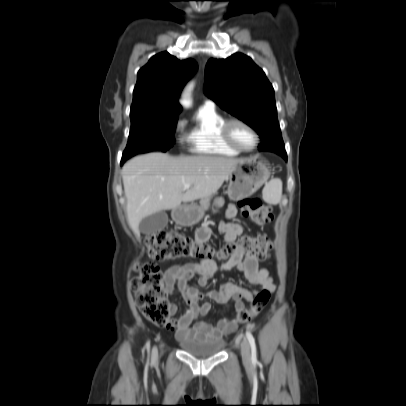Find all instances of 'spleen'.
Listing matches in <instances>:
<instances>
[{"label": "spleen", "instance_id": "1", "mask_svg": "<svg viewBox=\"0 0 406 406\" xmlns=\"http://www.w3.org/2000/svg\"><path fill=\"white\" fill-rule=\"evenodd\" d=\"M263 199L270 204H278L282 197V181L278 178L270 180L263 189Z\"/></svg>", "mask_w": 406, "mask_h": 406}]
</instances>
